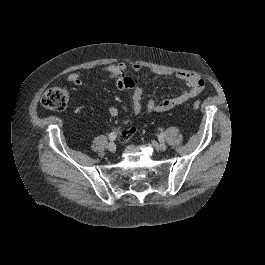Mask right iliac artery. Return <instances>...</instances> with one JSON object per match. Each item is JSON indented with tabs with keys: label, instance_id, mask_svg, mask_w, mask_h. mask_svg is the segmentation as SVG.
<instances>
[{
	"label": "right iliac artery",
	"instance_id": "1",
	"mask_svg": "<svg viewBox=\"0 0 265 265\" xmlns=\"http://www.w3.org/2000/svg\"><path fill=\"white\" fill-rule=\"evenodd\" d=\"M116 137H117V133L116 132H111L109 134V140L110 141H114L116 139Z\"/></svg>",
	"mask_w": 265,
	"mask_h": 265
}]
</instances>
